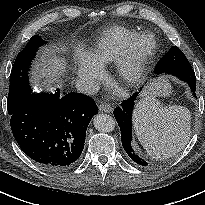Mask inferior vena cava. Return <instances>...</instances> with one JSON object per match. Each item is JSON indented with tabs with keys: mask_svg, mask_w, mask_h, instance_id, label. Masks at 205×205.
I'll list each match as a JSON object with an SVG mask.
<instances>
[{
	"mask_svg": "<svg viewBox=\"0 0 205 205\" xmlns=\"http://www.w3.org/2000/svg\"><path fill=\"white\" fill-rule=\"evenodd\" d=\"M76 88L79 92L85 94H95L99 90V85L91 79H79L75 82Z\"/></svg>",
	"mask_w": 205,
	"mask_h": 205,
	"instance_id": "inferior-vena-cava-1",
	"label": "inferior vena cava"
}]
</instances>
